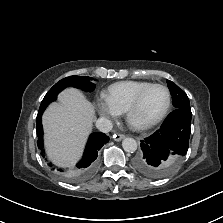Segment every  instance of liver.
<instances>
[{"label":"liver","mask_w":223,"mask_h":223,"mask_svg":"<svg viewBox=\"0 0 223 223\" xmlns=\"http://www.w3.org/2000/svg\"><path fill=\"white\" fill-rule=\"evenodd\" d=\"M44 112L45 147L49 159L61 166H73L81 157L95 118L94 106L81 91L67 88Z\"/></svg>","instance_id":"1"}]
</instances>
